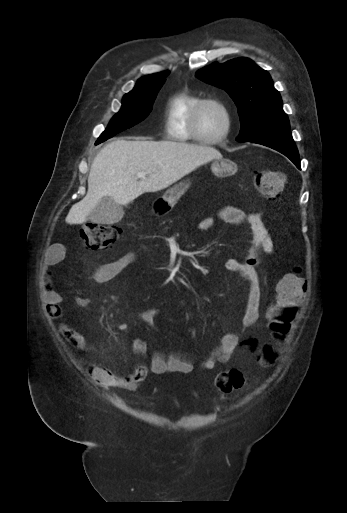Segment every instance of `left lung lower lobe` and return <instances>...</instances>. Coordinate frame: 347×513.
<instances>
[{
  "mask_svg": "<svg viewBox=\"0 0 347 513\" xmlns=\"http://www.w3.org/2000/svg\"><path fill=\"white\" fill-rule=\"evenodd\" d=\"M249 142L261 144L275 149L287 156L298 169H301L299 153L294 144L290 131H281L271 133L259 138H255Z\"/></svg>",
  "mask_w": 347,
  "mask_h": 513,
  "instance_id": "obj_1",
  "label": "left lung lower lobe"
}]
</instances>
